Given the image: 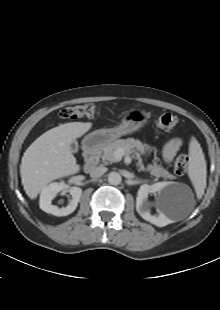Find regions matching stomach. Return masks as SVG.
Returning <instances> with one entry per match:
<instances>
[{"label":"stomach","mask_w":220,"mask_h":310,"mask_svg":"<svg viewBox=\"0 0 220 310\" xmlns=\"http://www.w3.org/2000/svg\"><path fill=\"white\" fill-rule=\"evenodd\" d=\"M148 115L144 111H128L120 125L110 129H99L85 137V142L90 147H100L110 144L117 138L138 131L147 122Z\"/></svg>","instance_id":"0dacf381"}]
</instances>
